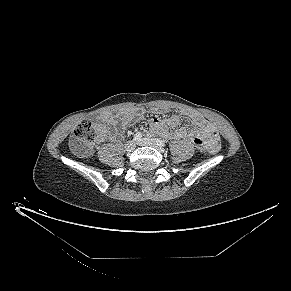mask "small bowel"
Instances as JSON below:
<instances>
[{"label": "small bowel", "mask_w": 291, "mask_h": 291, "mask_svg": "<svg viewBox=\"0 0 291 291\" xmlns=\"http://www.w3.org/2000/svg\"><path fill=\"white\" fill-rule=\"evenodd\" d=\"M166 111L167 109L165 107L153 108V112L156 114H163ZM189 117L198 126L197 130L190 133H188L185 127H178L179 120L176 117L150 119V132L153 134H161L169 139H184L189 137L194 146L201 150L206 149L210 144L218 140L217 131L201 115L191 113ZM101 118L113 123L119 131L141 120L143 118V111L141 109H126L120 111L115 116L106 112L101 115ZM169 128L174 130L170 131Z\"/></svg>", "instance_id": "obj_1"}]
</instances>
